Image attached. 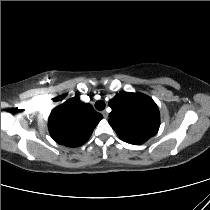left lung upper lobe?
Returning <instances> with one entry per match:
<instances>
[{"label":"left lung upper lobe","instance_id":"obj_1","mask_svg":"<svg viewBox=\"0 0 210 210\" xmlns=\"http://www.w3.org/2000/svg\"><path fill=\"white\" fill-rule=\"evenodd\" d=\"M109 106V124L121 140L139 145L158 132L159 110L150 97L120 92L109 101Z\"/></svg>","mask_w":210,"mask_h":210}]
</instances>
